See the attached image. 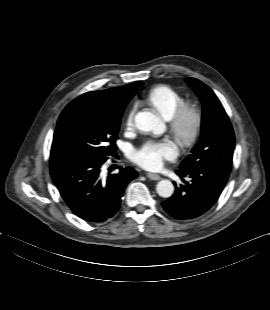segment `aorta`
I'll return each mask as SVG.
<instances>
[{
	"mask_svg": "<svg viewBox=\"0 0 270 310\" xmlns=\"http://www.w3.org/2000/svg\"><path fill=\"white\" fill-rule=\"evenodd\" d=\"M135 125L141 131L154 132L156 134H161L165 130L162 119L150 111L137 113L135 116ZM156 191L159 196L169 198L174 192V186L171 181L164 179L157 183Z\"/></svg>",
	"mask_w": 270,
	"mask_h": 310,
	"instance_id": "obj_1",
	"label": "aorta"
}]
</instances>
